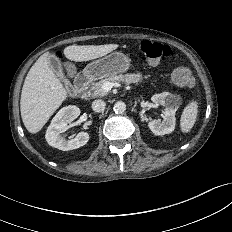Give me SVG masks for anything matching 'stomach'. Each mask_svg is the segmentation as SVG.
Wrapping results in <instances>:
<instances>
[{"label": "stomach", "mask_w": 232, "mask_h": 232, "mask_svg": "<svg viewBox=\"0 0 232 232\" xmlns=\"http://www.w3.org/2000/svg\"><path fill=\"white\" fill-rule=\"evenodd\" d=\"M130 61L128 56L120 51H115L89 63L84 69V74L90 80H96L109 75L123 73L128 70Z\"/></svg>", "instance_id": "1"}]
</instances>
